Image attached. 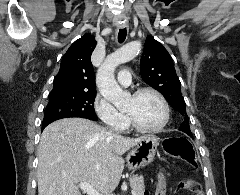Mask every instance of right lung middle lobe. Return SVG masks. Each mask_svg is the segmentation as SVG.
<instances>
[{
  "mask_svg": "<svg viewBox=\"0 0 240 195\" xmlns=\"http://www.w3.org/2000/svg\"><path fill=\"white\" fill-rule=\"evenodd\" d=\"M96 93H65L49 95L42 126L55 120L69 117H81L97 120L94 110Z\"/></svg>",
  "mask_w": 240,
  "mask_h": 195,
  "instance_id": "1",
  "label": "right lung middle lobe"
}]
</instances>
